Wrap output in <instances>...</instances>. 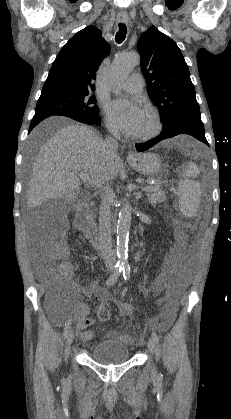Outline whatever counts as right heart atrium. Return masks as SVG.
Wrapping results in <instances>:
<instances>
[{
  "label": "right heart atrium",
  "mask_w": 231,
  "mask_h": 419,
  "mask_svg": "<svg viewBox=\"0 0 231 419\" xmlns=\"http://www.w3.org/2000/svg\"><path fill=\"white\" fill-rule=\"evenodd\" d=\"M105 125L111 133L117 134L119 132L117 124L107 115V113L105 115Z\"/></svg>",
  "instance_id": "right-heart-atrium-1"
}]
</instances>
